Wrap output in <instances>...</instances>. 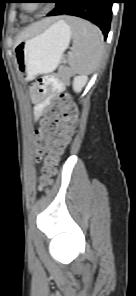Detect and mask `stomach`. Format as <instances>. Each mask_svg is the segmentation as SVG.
I'll return each mask as SVG.
<instances>
[{
	"label": "stomach",
	"mask_w": 136,
	"mask_h": 296,
	"mask_svg": "<svg viewBox=\"0 0 136 296\" xmlns=\"http://www.w3.org/2000/svg\"><path fill=\"white\" fill-rule=\"evenodd\" d=\"M71 35L70 26L60 20L43 33L19 41L14 54L20 70L25 71L29 79L53 72L69 45Z\"/></svg>",
	"instance_id": "1"
}]
</instances>
